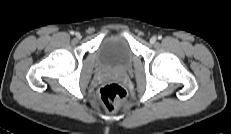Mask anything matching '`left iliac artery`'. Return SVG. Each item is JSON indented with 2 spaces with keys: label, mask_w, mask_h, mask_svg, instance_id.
Wrapping results in <instances>:
<instances>
[{
  "label": "left iliac artery",
  "mask_w": 231,
  "mask_h": 134,
  "mask_svg": "<svg viewBox=\"0 0 231 134\" xmlns=\"http://www.w3.org/2000/svg\"><path fill=\"white\" fill-rule=\"evenodd\" d=\"M158 39H162V36H158Z\"/></svg>",
  "instance_id": "1"
}]
</instances>
